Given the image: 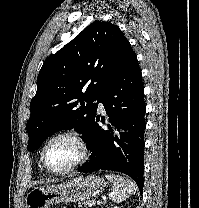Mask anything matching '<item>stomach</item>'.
<instances>
[{
	"label": "stomach",
	"mask_w": 199,
	"mask_h": 208,
	"mask_svg": "<svg viewBox=\"0 0 199 208\" xmlns=\"http://www.w3.org/2000/svg\"><path fill=\"white\" fill-rule=\"evenodd\" d=\"M106 183L90 175L69 179L57 185L35 187L25 198L26 208H50L58 203L90 200L102 194Z\"/></svg>",
	"instance_id": "1"
}]
</instances>
